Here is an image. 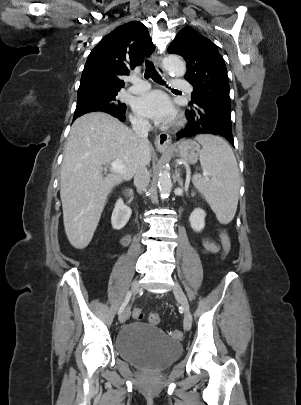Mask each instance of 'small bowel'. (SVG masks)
<instances>
[{"label":"small bowel","instance_id":"c3829d8e","mask_svg":"<svg viewBox=\"0 0 301 405\" xmlns=\"http://www.w3.org/2000/svg\"><path fill=\"white\" fill-rule=\"evenodd\" d=\"M202 249L206 253H216L218 251L219 247L213 241H211L207 238H204L202 240Z\"/></svg>","mask_w":301,"mask_h":405}]
</instances>
